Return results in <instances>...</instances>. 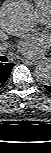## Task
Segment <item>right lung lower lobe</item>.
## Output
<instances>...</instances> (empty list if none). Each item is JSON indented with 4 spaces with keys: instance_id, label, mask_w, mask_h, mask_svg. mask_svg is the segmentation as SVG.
<instances>
[{
    "instance_id": "right-lung-lower-lobe-1",
    "label": "right lung lower lobe",
    "mask_w": 51,
    "mask_h": 153,
    "mask_svg": "<svg viewBox=\"0 0 51 153\" xmlns=\"http://www.w3.org/2000/svg\"><path fill=\"white\" fill-rule=\"evenodd\" d=\"M13 67V63H0V88L8 79Z\"/></svg>"
}]
</instances>
